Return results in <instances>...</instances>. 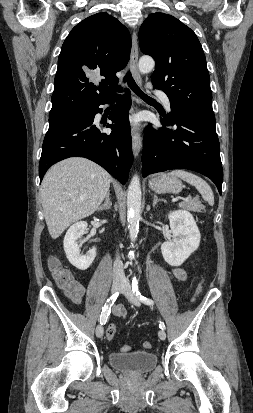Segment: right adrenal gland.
Here are the masks:
<instances>
[{
  "mask_svg": "<svg viewBox=\"0 0 253 413\" xmlns=\"http://www.w3.org/2000/svg\"><path fill=\"white\" fill-rule=\"evenodd\" d=\"M112 206L111 198H110V192L107 193L106 195V200L102 206H100L97 210H109Z\"/></svg>",
  "mask_w": 253,
  "mask_h": 413,
  "instance_id": "right-adrenal-gland-1",
  "label": "right adrenal gland"
}]
</instances>
